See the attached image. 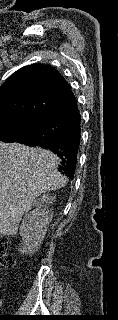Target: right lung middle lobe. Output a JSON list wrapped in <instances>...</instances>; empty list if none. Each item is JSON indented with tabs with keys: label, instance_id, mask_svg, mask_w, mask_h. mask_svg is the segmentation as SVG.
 Here are the masks:
<instances>
[{
	"label": "right lung middle lobe",
	"instance_id": "right-lung-middle-lobe-1",
	"mask_svg": "<svg viewBox=\"0 0 118 320\" xmlns=\"http://www.w3.org/2000/svg\"><path fill=\"white\" fill-rule=\"evenodd\" d=\"M45 120L39 119H13V120H0V133L7 134L6 138L11 136H18L17 140L21 141L32 135L33 133L39 132ZM6 141H13L6 139Z\"/></svg>",
	"mask_w": 118,
	"mask_h": 320
}]
</instances>
